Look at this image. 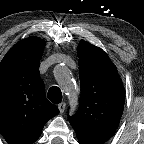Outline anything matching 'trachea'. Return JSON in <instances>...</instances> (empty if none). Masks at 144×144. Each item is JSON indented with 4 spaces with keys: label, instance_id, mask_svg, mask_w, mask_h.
<instances>
[{
    "label": "trachea",
    "instance_id": "3493384b",
    "mask_svg": "<svg viewBox=\"0 0 144 144\" xmlns=\"http://www.w3.org/2000/svg\"><path fill=\"white\" fill-rule=\"evenodd\" d=\"M47 96L49 100L54 104H58L62 101L61 90L56 86H53L48 90Z\"/></svg>",
    "mask_w": 144,
    "mask_h": 144
}]
</instances>
